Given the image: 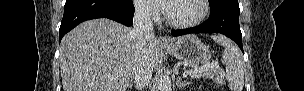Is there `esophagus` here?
<instances>
[{"mask_svg":"<svg viewBox=\"0 0 304 91\" xmlns=\"http://www.w3.org/2000/svg\"><path fill=\"white\" fill-rule=\"evenodd\" d=\"M158 42H159V44H161V45H169V44H170V40H169V38L166 37V36H160V37L158 38Z\"/></svg>","mask_w":304,"mask_h":91,"instance_id":"34e87169","label":"esophagus"}]
</instances>
